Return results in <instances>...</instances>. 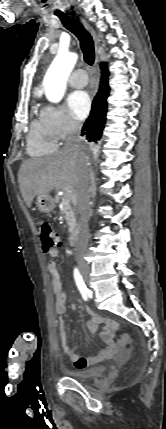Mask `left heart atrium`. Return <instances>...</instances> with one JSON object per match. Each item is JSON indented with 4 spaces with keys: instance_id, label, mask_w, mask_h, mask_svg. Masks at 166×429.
<instances>
[{
    "instance_id": "obj_1",
    "label": "left heart atrium",
    "mask_w": 166,
    "mask_h": 429,
    "mask_svg": "<svg viewBox=\"0 0 166 429\" xmlns=\"http://www.w3.org/2000/svg\"><path fill=\"white\" fill-rule=\"evenodd\" d=\"M68 104L72 116L77 120L84 119L91 108L90 97L85 91L73 92L68 99Z\"/></svg>"
}]
</instances>
